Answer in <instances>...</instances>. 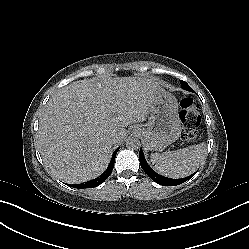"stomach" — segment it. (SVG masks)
<instances>
[{"mask_svg": "<svg viewBox=\"0 0 249 249\" xmlns=\"http://www.w3.org/2000/svg\"><path fill=\"white\" fill-rule=\"evenodd\" d=\"M151 117L140 133L148 149L162 150L175 142L181 130L174 96L157 88L149 97Z\"/></svg>", "mask_w": 249, "mask_h": 249, "instance_id": "stomach-1", "label": "stomach"}]
</instances>
